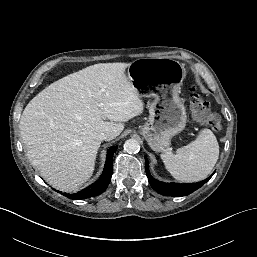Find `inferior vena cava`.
<instances>
[{"label": "inferior vena cava", "mask_w": 257, "mask_h": 257, "mask_svg": "<svg viewBox=\"0 0 257 257\" xmlns=\"http://www.w3.org/2000/svg\"><path fill=\"white\" fill-rule=\"evenodd\" d=\"M98 137L100 140L110 141L116 137V134L114 132L105 131L101 132Z\"/></svg>", "instance_id": "602c4592"}]
</instances>
